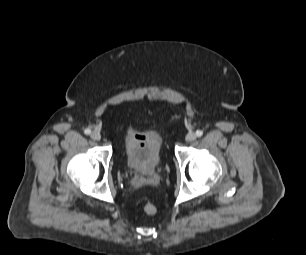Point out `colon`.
<instances>
[{"mask_svg":"<svg viewBox=\"0 0 306 255\" xmlns=\"http://www.w3.org/2000/svg\"><path fill=\"white\" fill-rule=\"evenodd\" d=\"M143 210L148 215H153L156 213V207L152 203H146L143 207Z\"/></svg>","mask_w":306,"mask_h":255,"instance_id":"colon-1","label":"colon"}]
</instances>
